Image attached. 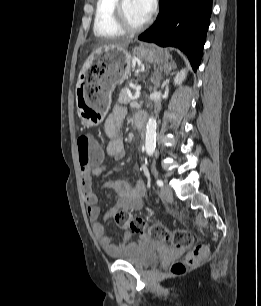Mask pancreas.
<instances>
[{
  "label": "pancreas",
  "mask_w": 261,
  "mask_h": 306,
  "mask_svg": "<svg viewBox=\"0 0 261 306\" xmlns=\"http://www.w3.org/2000/svg\"><path fill=\"white\" fill-rule=\"evenodd\" d=\"M133 94L130 92L128 87L123 88L119 93L118 102L120 104H128L131 102V96Z\"/></svg>",
  "instance_id": "obj_1"
}]
</instances>
